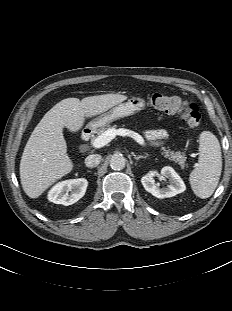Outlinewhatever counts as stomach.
<instances>
[{
	"label": "stomach",
	"instance_id": "stomach-1",
	"mask_svg": "<svg viewBox=\"0 0 232 311\" xmlns=\"http://www.w3.org/2000/svg\"><path fill=\"white\" fill-rule=\"evenodd\" d=\"M145 107L144 99L140 97H132L124 103H120L109 111L92 119L86 126L92 132H98L102 128L108 126L113 121L133 115L141 111Z\"/></svg>",
	"mask_w": 232,
	"mask_h": 311
}]
</instances>
